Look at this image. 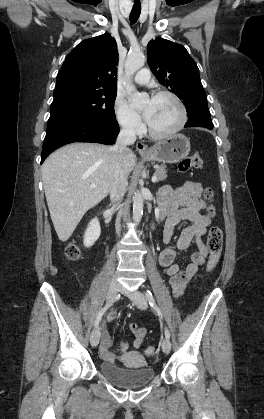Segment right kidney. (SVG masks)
Returning <instances> with one entry per match:
<instances>
[{"label":"right kidney","instance_id":"1","mask_svg":"<svg viewBox=\"0 0 264 419\" xmlns=\"http://www.w3.org/2000/svg\"><path fill=\"white\" fill-rule=\"evenodd\" d=\"M101 233L100 223L97 218H94L84 234V245L91 247L99 238Z\"/></svg>","mask_w":264,"mask_h":419}]
</instances>
